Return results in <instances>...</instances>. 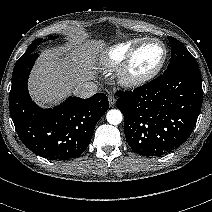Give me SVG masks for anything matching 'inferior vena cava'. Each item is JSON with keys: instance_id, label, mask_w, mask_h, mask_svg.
<instances>
[{"instance_id": "inferior-vena-cava-1", "label": "inferior vena cava", "mask_w": 212, "mask_h": 212, "mask_svg": "<svg viewBox=\"0 0 212 212\" xmlns=\"http://www.w3.org/2000/svg\"><path fill=\"white\" fill-rule=\"evenodd\" d=\"M97 85L93 82H85L74 89V93L80 98H89L97 93Z\"/></svg>"}]
</instances>
